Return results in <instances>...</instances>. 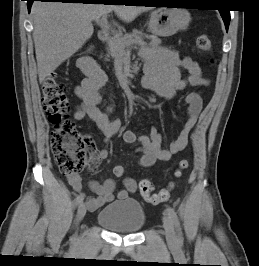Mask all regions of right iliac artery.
<instances>
[{
    "instance_id": "obj_1",
    "label": "right iliac artery",
    "mask_w": 259,
    "mask_h": 266,
    "mask_svg": "<svg viewBox=\"0 0 259 266\" xmlns=\"http://www.w3.org/2000/svg\"><path fill=\"white\" fill-rule=\"evenodd\" d=\"M84 197H85V194H80L77 196V198L75 199V205L76 206H79L83 203V200H84Z\"/></svg>"
}]
</instances>
